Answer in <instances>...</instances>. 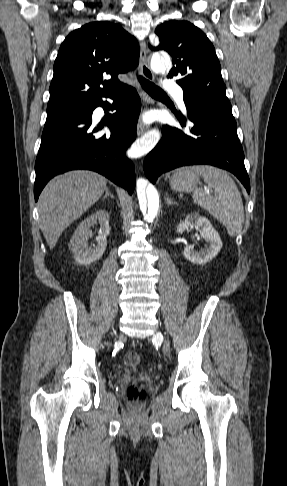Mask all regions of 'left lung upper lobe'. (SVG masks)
Wrapping results in <instances>:
<instances>
[{"label": "left lung upper lobe", "instance_id": "left-lung-upper-lobe-1", "mask_svg": "<svg viewBox=\"0 0 287 486\" xmlns=\"http://www.w3.org/2000/svg\"><path fill=\"white\" fill-rule=\"evenodd\" d=\"M155 33L160 44L152 49L165 50L172 56L168 78L177 77L187 111L195 110L236 126L221 66L207 36L192 23L177 20L159 25Z\"/></svg>", "mask_w": 287, "mask_h": 486}]
</instances>
